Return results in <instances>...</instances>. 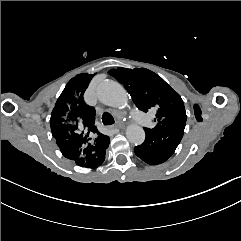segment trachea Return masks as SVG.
I'll return each instance as SVG.
<instances>
[{"mask_svg": "<svg viewBox=\"0 0 241 241\" xmlns=\"http://www.w3.org/2000/svg\"><path fill=\"white\" fill-rule=\"evenodd\" d=\"M102 122L104 125H112L114 123V118L110 113L104 112L102 115Z\"/></svg>", "mask_w": 241, "mask_h": 241, "instance_id": "3493384b", "label": "trachea"}]
</instances>
